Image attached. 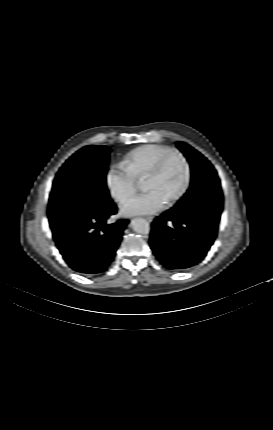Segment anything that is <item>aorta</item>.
I'll return each mask as SVG.
<instances>
[{
    "label": "aorta",
    "instance_id": "obj_1",
    "mask_svg": "<svg viewBox=\"0 0 273 430\" xmlns=\"http://www.w3.org/2000/svg\"><path fill=\"white\" fill-rule=\"evenodd\" d=\"M133 231L139 234H148L150 232V224L143 218H135L130 223Z\"/></svg>",
    "mask_w": 273,
    "mask_h": 430
}]
</instances>
